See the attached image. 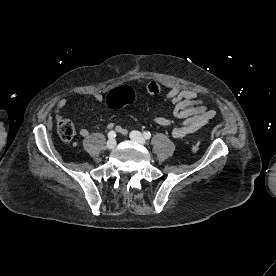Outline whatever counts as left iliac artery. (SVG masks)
<instances>
[{"mask_svg":"<svg viewBox=\"0 0 276 276\" xmlns=\"http://www.w3.org/2000/svg\"><path fill=\"white\" fill-rule=\"evenodd\" d=\"M143 136L145 137V139H150L151 138V133L148 131L143 132Z\"/></svg>","mask_w":276,"mask_h":276,"instance_id":"44dca946","label":"left iliac artery"}]
</instances>
